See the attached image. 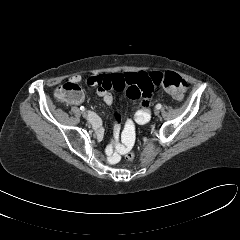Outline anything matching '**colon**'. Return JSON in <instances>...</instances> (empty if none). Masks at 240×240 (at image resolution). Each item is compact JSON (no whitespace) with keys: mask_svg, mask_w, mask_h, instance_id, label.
<instances>
[{"mask_svg":"<svg viewBox=\"0 0 240 240\" xmlns=\"http://www.w3.org/2000/svg\"><path fill=\"white\" fill-rule=\"evenodd\" d=\"M150 78L155 86L162 87L173 98L181 99L187 91V82L174 72H153ZM55 96L60 101L71 102L83 96L81 87L74 82H68L55 91ZM125 157L128 161L133 160L131 151L133 144V132H125L123 136Z\"/></svg>","mask_w":240,"mask_h":240,"instance_id":"colon-1","label":"colon"}]
</instances>
